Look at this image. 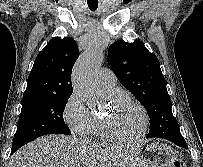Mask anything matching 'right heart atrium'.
<instances>
[{"instance_id":"obj_1","label":"right heart atrium","mask_w":203,"mask_h":167,"mask_svg":"<svg viewBox=\"0 0 203 167\" xmlns=\"http://www.w3.org/2000/svg\"><path fill=\"white\" fill-rule=\"evenodd\" d=\"M63 119L70 131L78 136L89 134L93 114L76 92H72L63 108Z\"/></svg>"}]
</instances>
